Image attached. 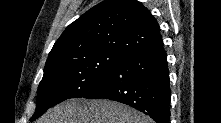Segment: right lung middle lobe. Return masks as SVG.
Returning <instances> with one entry per match:
<instances>
[{
  "label": "right lung middle lobe",
  "mask_w": 221,
  "mask_h": 123,
  "mask_svg": "<svg viewBox=\"0 0 221 123\" xmlns=\"http://www.w3.org/2000/svg\"><path fill=\"white\" fill-rule=\"evenodd\" d=\"M127 54L106 48L84 50L54 58L45 64L39 84L35 120L48 108L70 98H85Z\"/></svg>",
  "instance_id": "obj_1"
}]
</instances>
